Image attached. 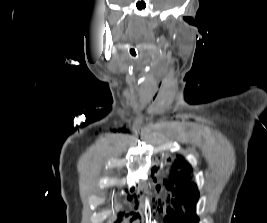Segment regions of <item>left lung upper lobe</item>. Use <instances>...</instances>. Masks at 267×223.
Returning a JSON list of instances; mask_svg holds the SVG:
<instances>
[{"label":"left lung upper lobe","mask_w":267,"mask_h":223,"mask_svg":"<svg viewBox=\"0 0 267 223\" xmlns=\"http://www.w3.org/2000/svg\"><path fill=\"white\" fill-rule=\"evenodd\" d=\"M191 170L192 167L184 157H178L171 167L167 184L169 203L162 209V214H177L179 222L184 221L183 214H189L192 220L196 218L195 204H198L199 192L196 184L189 181Z\"/></svg>","instance_id":"1"}]
</instances>
